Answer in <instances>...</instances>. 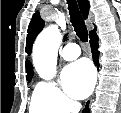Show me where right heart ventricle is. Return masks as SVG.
I'll list each match as a JSON object with an SVG mask.
<instances>
[{"label":"right heart ventricle","instance_id":"1","mask_svg":"<svg viewBox=\"0 0 121 113\" xmlns=\"http://www.w3.org/2000/svg\"><path fill=\"white\" fill-rule=\"evenodd\" d=\"M28 110L29 113H51L49 107L39 97L38 86L32 93V96L29 101Z\"/></svg>","mask_w":121,"mask_h":113}]
</instances>
